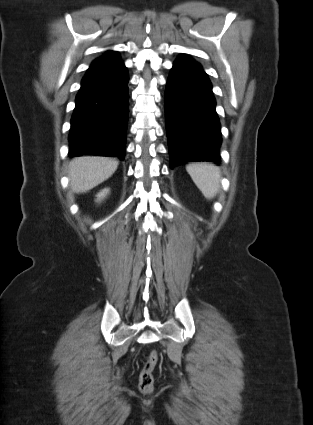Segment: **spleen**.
Masks as SVG:
<instances>
[{
	"label": "spleen",
	"instance_id": "obj_1",
	"mask_svg": "<svg viewBox=\"0 0 313 425\" xmlns=\"http://www.w3.org/2000/svg\"><path fill=\"white\" fill-rule=\"evenodd\" d=\"M186 170L205 198L216 196L220 188L219 167L209 163H191L186 166Z\"/></svg>",
	"mask_w": 313,
	"mask_h": 425
}]
</instances>
